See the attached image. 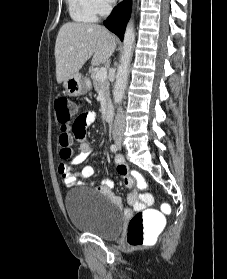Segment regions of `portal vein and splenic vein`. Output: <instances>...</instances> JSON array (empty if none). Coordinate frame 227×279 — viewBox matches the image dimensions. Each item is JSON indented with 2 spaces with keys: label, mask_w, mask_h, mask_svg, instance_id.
<instances>
[{
  "label": "portal vein and splenic vein",
  "mask_w": 227,
  "mask_h": 279,
  "mask_svg": "<svg viewBox=\"0 0 227 279\" xmlns=\"http://www.w3.org/2000/svg\"><path fill=\"white\" fill-rule=\"evenodd\" d=\"M96 78L99 81L105 80L107 78V70L104 67H101L96 70Z\"/></svg>",
  "instance_id": "obj_1"
}]
</instances>
